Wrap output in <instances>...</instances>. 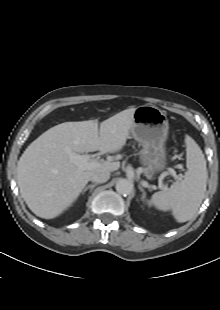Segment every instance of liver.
<instances>
[{
  "instance_id": "1",
  "label": "liver",
  "mask_w": 220,
  "mask_h": 310,
  "mask_svg": "<svg viewBox=\"0 0 220 310\" xmlns=\"http://www.w3.org/2000/svg\"><path fill=\"white\" fill-rule=\"evenodd\" d=\"M136 108L123 110L104 120L65 122L56 125L24 151L17 164V183L29 209L38 217L52 219L78 198L92 174L119 169V162L103 161L82 170L69 160V151L114 153L126 144Z\"/></svg>"
}]
</instances>
